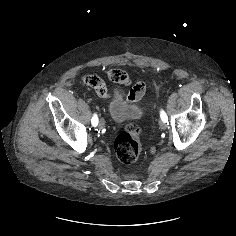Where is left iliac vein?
Wrapping results in <instances>:
<instances>
[{
    "instance_id": "left-iliac-vein-1",
    "label": "left iliac vein",
    "mask_w": 236,
    "mask_h": 236,
    "mask_svg": "<svg viewBox=\"0 0 236 236\" xmlns=\"http://www.w3.org/2000/svg\"><path fill=\"white\" fill-rule=\"evenodd\" d=\"M159 126L161 129H165L167 125H166V122L160 121Z\"/></svg>"
}]
</instances>
